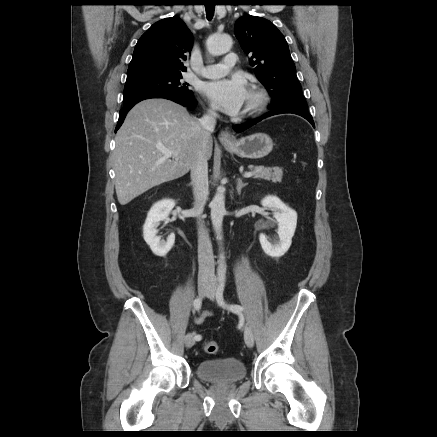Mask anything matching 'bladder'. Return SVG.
Segmentation results:
<instances>
[{"mask_svg":"<svg viewBox=\"0 0 437 437\" xmlns=\"http://www.w3.org/2000/svg\"><path fill=\"white\" fill-rule=\"evenodd\" d=\"M196 375L211 383H231L245 378L246 367L236 358L203 360L196 366Z\"/></svg>","mask_w":437,"mask_h":437,"instance_id":"1","label":"bladder"}]
</instances>
